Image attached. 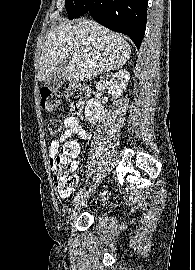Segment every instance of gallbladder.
Returning <instances> with one entry per match:
<instances>
[{
    "instance_id": "bac80fb5",
    "label": "gallbladder",
    "mask_w": 195,
    "mask_h": 270,
    "mask_svg": "<svg viewBox=\"0 0 195 270\" xmlns=\"http://www.w3.org/2000/svg\"><path fill=\"white\" fill-rule=\"evenodd\" d=\"M66 64H61L58 69L44 80V85L52 91L58 90L64 83L63 71Z\"/></svg>"
}]
</instances>
